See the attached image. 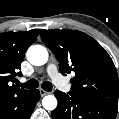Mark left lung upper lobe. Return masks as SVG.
Instances as JSON below:
<instances>
[{
  "mask_svg": "<svg viewBox=\"0 0 119 119\" xmlns=\"http://www.w3.org/2000/svg\"><path fill=\"white\" fill-rule=\"evenodd\" d=\"M42 41L54 53L60 72H74L70 93L118 105V75L105 49L77 30H42Z\"/></svg>",
  "mask_w": 119,
  "mask_h": 119,
  "instance_id": "obj_1",
  "label": "left lung upper lobe"
}]
</instances>
